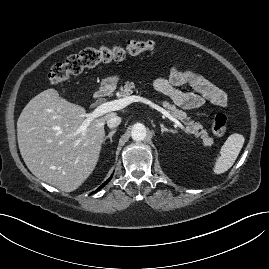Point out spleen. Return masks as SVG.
Returning <instances> with one entry per match:
<instances>
[{
  "mask_svg": "<svg viewBox=\"0 0 269 269\" xmlns=\"http://www.w3.org/2000/svg\"><path fill=\"white\" fill-rule=\"evenodd\" d=\"M244 141V136L238 133L231 134L227 138L221 147L220 155L216 159L213 169L214 174H222L233 166L243 147Z\"/></svg>",
  "mask_w": 269,
  "mask_h": 269,
  "instance_id": "spleen-1",
  "label": "spleen"
}]
</instances>
